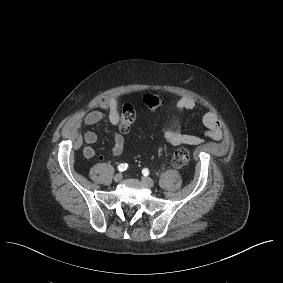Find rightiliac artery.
<instances>
[{
    "mask_svg": "<svg viewBox=\"0 0 283 283\" xmlns=\"http://www.w3.org/2000/svg\"><path fill=\"white\" fill-rule=\"evenodd\" d=\"M127 168H128V164H127V163H122V164H120V165L118 166V170H119L120 172L125 171Z\"/></svg>",
    "mask_w": 283,
    "mask_h": 283,
    "instance_id": "obj_1",
    "label": "right iliac artery"
}]
</instances>
